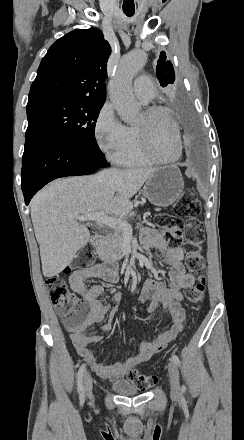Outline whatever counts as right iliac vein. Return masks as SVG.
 I'll return each mask as SVG.
<instances>
[{"label": "right iliac vein", "mask_w": 244, "mask_h": 440, "mask_svg": "<svg viewBox=\"0 0 244 440\" xmlns=\"http://www.w3.org/2000/svg\"><path fill=\"white\" fill-rule=\"evenodd\" d=\"M84 386H85L86 396L87 397H91V394H92V377H91V374L88 371L85 373Z\"/></svg>", "instance_id": "obj_1"}]
</instances>
